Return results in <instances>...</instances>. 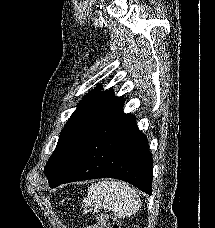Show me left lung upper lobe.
<instances>
[{
  "mask_svg": "<svg viewBox=\"0 0 215 228\" xmlns=\"http://www.w3.org/2000/svg\"><path fill=\"white\" fill-rule=\"evenodd\" d=\"M101 89L95 88L81 100L60 133L44 169L48 180L53 179L92 133L123 106L124 100L116 97L111 89L104 92Z\"/></svg>",
  "mask_w": 215,
  "mask_h": 228,
  "instance_id": "1",
  "label": "left lung upper lobe"
}]
</instances>
